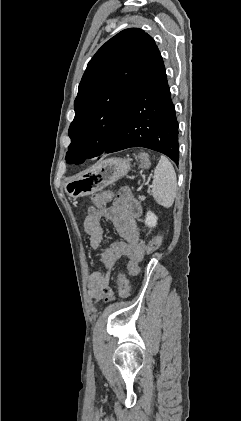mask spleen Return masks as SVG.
<instances>
[{"label": "spleen", "instance_id": "1", "mask_svg": "<svg viewBox=\"0 0 241 421\" xmlns=\"http://www.w3.org/2000/svg\"><path fill=\"white\" fill-rule=\"evenodd\" d=\"M177 191V178L171 162L161 156L154 170L152 182V195L156 202L165 208H170L175 200Z\"/></svg>", "mask_w": 241, "mask_h": 421}]
</instances>
